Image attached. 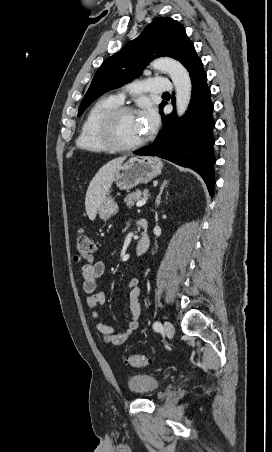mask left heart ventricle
Wrapping results in <instances>:
<instances>
[{"label":"left heart ventricle","instance_id":"b2bd125f","mask_svg":"<svg viewBox=\"0 0 272 452\" xmlns=\"http://www.w3.org/2000/svg\"><path fill=\"white\" fill-rule=\"evenodd\" d=\"M142 120L136 114H123L116 122V137L123 143H134L145 137Z\"/></svg>","mask_w":272,"mask_h":452}]
</instances>
